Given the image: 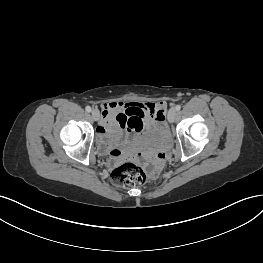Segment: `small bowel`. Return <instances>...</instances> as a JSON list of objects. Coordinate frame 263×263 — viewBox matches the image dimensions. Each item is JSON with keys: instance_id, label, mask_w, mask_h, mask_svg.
I'll use <instances>...</instances> for the list:
<instances>
[{"instance_id": "c3829d8e", "label": "small bowel", "mask_w": 263, "mask_h": 263, "mask_svg": "<svg viewBox=\"0 0 263 263\" xmlns=\"http://www.w3.org/2000/svg\"><path fill=\"white\" fill-rule=\"evenodd\" d=\"M101 110L102 118L97 129L99 143L112 158L120 159L122 146L135 149L146 132L156 125H164L166 103L109 102L102 104ZM164 163V151H155L149 168L150 178H159Z\"/></svg>"}]
</instances>
